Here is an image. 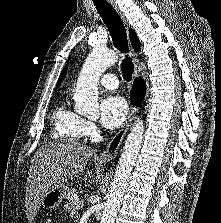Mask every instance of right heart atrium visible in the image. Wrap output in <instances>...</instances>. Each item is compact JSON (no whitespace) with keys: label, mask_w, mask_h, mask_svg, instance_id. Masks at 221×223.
I'll use <instances>...</instances> for the list:
<instances>
[{"label":"right heart atrium","mask_w":221,"mask_h":223,"mask_svg":"<svg viewBox=\"0 0 221 223\" xmlns=\"http://www.w3.org/2000/svg\"><path fill=\"white\" fill-rule=\"evenodd\" d=\"M82 130L84 136L87 137H93L97 133L96 125L93 122L87 120H83Z\"/></svg>","instance_id":"obj_1"}]
</instances>
